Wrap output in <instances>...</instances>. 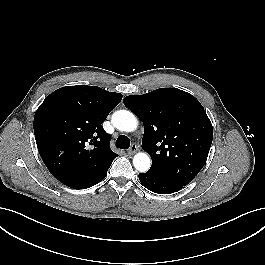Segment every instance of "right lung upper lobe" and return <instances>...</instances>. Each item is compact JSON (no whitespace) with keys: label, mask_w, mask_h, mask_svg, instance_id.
I'll return each instance as SVG.
<instances>
[{"label":"right lung upper lobe","mask_w":265,"mask_h":265,"mask_svg":"<svg viewBox=\"0 0 265 265\" xmlns=\"http://www.w3.org/2000/svg\"><path fill=\"white\" fill-rule=\"evenodd\" d=\"M122 94L97 86H66L51 93L34 115L40 156L50 173L64 184L107 170L118 154L109 147L102 127Z\"/></svg>","instance_id":"obj_1"}]
</instances>
